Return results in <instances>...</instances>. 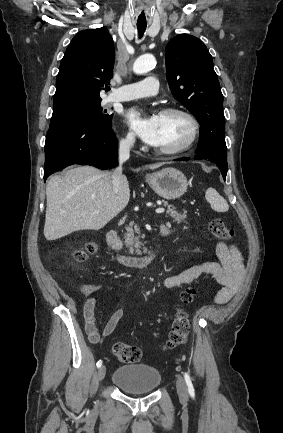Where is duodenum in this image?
<instances>
[{
	"label": "duodenum",
	"mask_w": 283,
	"mask_h": 433,
	"mask_svg": "<svg viewBox=\"0 0 283 433\" xmlns=\"http://www.w3.org/2000/svg\"><path fill=\"white\" fill-rule=\"evenodd\" d=\"M169 233L166 226L161 225L159 227V237L162 238ZM106 246L111 252H116L120 247V238L116 231H109L106 235ZM156 250H152L143 256H124L117 255V259L120 263L125 266L132 268H143L147 266L155 257Z\"/></svg>",
	"instance_id": "410a0bca"
}]
</instances>
